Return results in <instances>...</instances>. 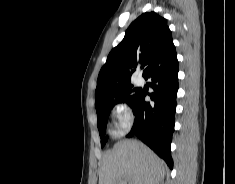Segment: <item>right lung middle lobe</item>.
<instances>
[{
    "label": "right lung middle lobe",
    "instance_id": "dd1d6c3e",
    "mask_svg": "<svg viewBox=\"0 0 235 184\" xmlns=\"http://www.w3.org/2000/svg\"><path fill=\"white\" fill-rule=\"evenodd\" d=\"M140 90L134 88L132 84L113 88L111 90V103L96 107L97 126L101 137V147L107 142L105 137L106 118L111 108L117 103H127L129 106L136 100Z\"/></svg>",
    "mask_w": 235,
    "mask_h": 184
}]
</instances>
